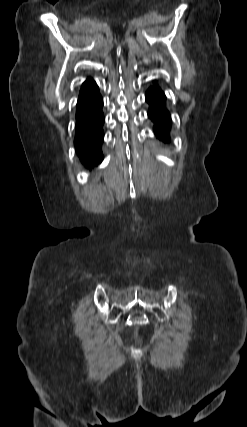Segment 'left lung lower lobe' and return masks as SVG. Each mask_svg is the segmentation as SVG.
<instances>
[{"instance_id": "left-lung-lower-lobe-1", "label": "left lung lower lobe", "mask_w": 247, "mask_h": 427, "mask_svg": "<svg viewBox=\"0 0 247 427\" xmlns=\"http://www.w3.org/2000/svg\"><path fill=\"white\" fill-rule=\"evenodd\" d=\"M146 101L150 104L149 118L154 122V133L164 143L170 141L169 128L171 125L170 114L165 108V94L155 84L147 90Z\"/></svg>"}]
</instances>
